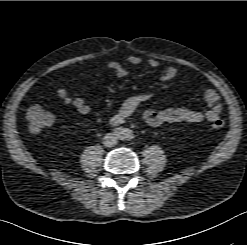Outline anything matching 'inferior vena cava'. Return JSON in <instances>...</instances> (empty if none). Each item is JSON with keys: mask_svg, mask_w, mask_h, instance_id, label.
<instances>
[{"mask_svg": "<svg viewBox=\"0 0 247 245\" xmlns=\"http://www.w3.org/2000/svg\"><path fill=\"white\" fill-rule=\"evenodd\" d=\"M117 142H118V137H117V135H115L113 133H108L104 137V145L106 147H112V146L116 145Z\"/></svg>", "mask_w": 247, "mask_h": 245, "instance_id": "inferior-vena-cava-1", "label": "inferior vena cava"}]
</instances>
